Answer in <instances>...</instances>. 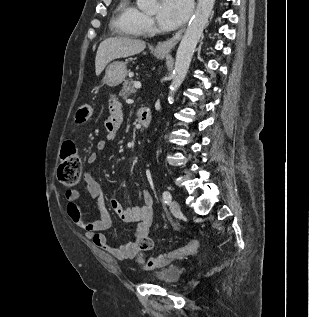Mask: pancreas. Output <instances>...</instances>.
<instances>
[{
    "label": "pancreas",
    "mask_w": 309,
    "mask_h": 317,
    "mask_svg": "<svg viewBox=\"0 0 309 317\" xmlns=\"http://www.w3.org/2000/svg\"><path fill=\"white\" fill-rule=\"evenodd\" d=\"M134 81L132 79H127L123 83V87L119 93V96L123 99L128 98L130 95L134 94L136 92V89L134 88Z\"/></svg>",
    "instance_id": "obj_1"
}]
</instances>
